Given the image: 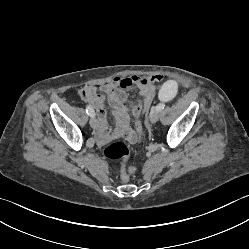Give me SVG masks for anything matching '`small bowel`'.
I'll list each match as a JSON object with an SVG mask.
<instances>
[{"mask_svg": "<svg viewBox=\"0 0 249 249\" xmlns=\"http://www.w3.org/2000/svg\"><path fill=\"white\" fill-rule=\"evenodd\" d=\"M161 80L162 77L157 75L151 78L137 76L115 77L111 82L100 87V91L104 95L98 93V89L95 86L83 87L79 91V95L81 99L89 103L97 113V131L99 139L101 141H107L112 138L126 136L130 142L134 143L136 137L135 133L130 128L129 98L127 91L132 88H137L142 97L141 100L150 104L155 94L154 83L157 84ZM105 96L107 97L115 116L116 127L113 131H110L106 117ZM136 103L134 104V107Z\"/></svg>", "mask_w": 249, "mask_h": 249, "instance_id": "1", "label": "small bowel"}]
</instances>
